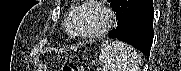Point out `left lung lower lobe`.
I'll use <instances>...</instances> for the list:
<instances>
[{"instance_id":"left-lung-lower-lobe-1","label":"left lung lower lobe","mask_w":181,"mask_h":71,"mask_svg":"<svg viewBox=\"0 0 181 71\" xmlns=\"http://www.w3.org/2000/svg\"><path fill=\"white\" fill-rule=\"evenodd\" d=\"M113 9L116 11L118 26L109 33V37L131 44L149 58L154 36L153 1L117 0Z\"/></svg>"}]
</instances>
